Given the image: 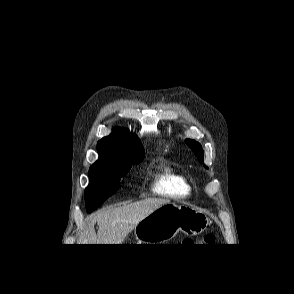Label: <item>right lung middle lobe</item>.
Listing matches in <instances>:
<instances>
[{"label":"right lung middle lobe","mask_w":294,"mask_h":294,"mask_svg":"<svg viewBox=\"0 0 294 294\" xmlns=\"http://www.w3.org/2000/svg\"><path fill=\"white\" fill-rule=\"evenodd\" d=\"M142 158H99L89 170V185L85 190L88 212L96 209L106 198L114 194L119 188L121 177Z\"/></svg>","instance_id":"obj_1"}]
</instances>
